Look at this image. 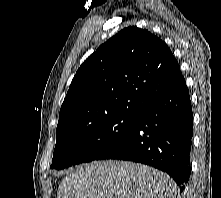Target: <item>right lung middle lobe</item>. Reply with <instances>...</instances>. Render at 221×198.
I'll list each match as a JSON object with an SVG mask.
<instances>
[{
  "mask_svg": "<svg viewBox=\"0 0 221 198\" xmlns=\"http://www.w3.org/2000/svg\"><path fill=\"white\" fill-rule=\"evenodd\" d=\"M138 114L118 113L56 137L51 169L93 161L135 126Z\"/></svg>",
  "mask_w": 221,
  "mask_h": 198,
  "instance_id": "1",
  "label": "right lung middle lobe"
}]
</instances>
